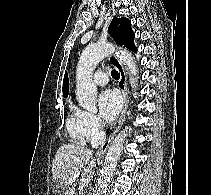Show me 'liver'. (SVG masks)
Segmentation results:
<instances>
[{
	"instance_id": "6515ba94",
	"label": "liver",
	"mask_w": 211,
	"mask_h": 195,
	"mask_svg": "<svg viewBox=\"0 0 211 195\" xmlns=\"http://www.w3.org/2000/svg\"><path fill=\"white\" fill-rule=\"evenodd\" d=\"M95 164L92 150L75 144L61 145L52 162L53 178L59 180L63 186L60 195H74L77 178L79 189L87 186L93 177ZM75 172H79L80 176L71 182Z\"/></svg>"
}]
</instances>
